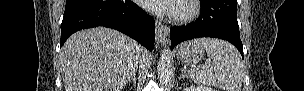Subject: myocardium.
I'll use <instances>...</instances> for the list:
<instances>
[{
  "label": "myocardium",
  "mask_w": 304,
  "mask_h": 91,
  "mask_svg": "<svg viewBox=\"0 0 304 91\" xmlns=\"http://www.w3.org/2000/svg\"><path fill=\"white\" fill-rule=\"evenodd\" d=\"M179 3L185 7V10L171 15L175 22L191 21L195 19L200 12L198 0H181Z\"/></svg>",
  "instance_id": "f54148a6"
}]
</instances>
